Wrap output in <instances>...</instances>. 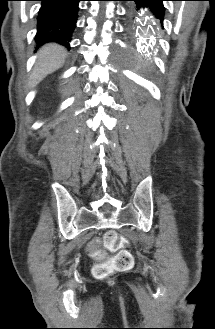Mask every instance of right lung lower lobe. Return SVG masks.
<instances>
[{"label": "right lung lower lobe", "instance_id": "obj_1", "mask_svg": "<svg viewBox=\"0 0 215 329\" xmlns=\"http://www.w3.org/2000/svg\"><path fill=\"white\" fill-rule=\"evenodd\" d=\"M42 2L37 17L36 43L57 42L69 47L76 27L78 3L82 0H38Z\"/></svg>", "mask_w": 215, "mask_h": 329}]
</instances>
